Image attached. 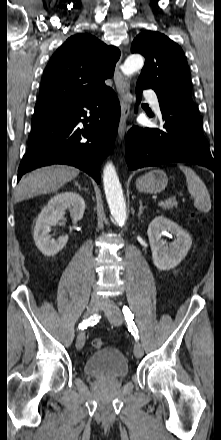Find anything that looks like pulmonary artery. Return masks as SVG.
<instances>
[{
	"mask_svg": "<svg viewBox=\"0 0 221 440\" xmlns=\"http://www.w3.org/2000/svg\"><path fill=\"white\" fill-rule=\"evenodd\" d=\"M144 96L149 100L151 106L157 111L160 112V103L157 98L156 93L153 90H145Z\"/></svg>",
	"mask_w": 221,
	"mask_h": 440,
	"instance_id": "pulmonary-artery-1",
	"label": "pulmonary artery"
}]
</instances>
